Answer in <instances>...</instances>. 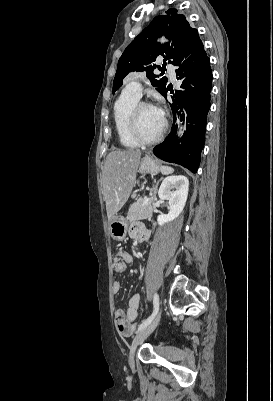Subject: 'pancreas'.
I'll return each instance as SVG.
<instances>
[{
    "label": "pancreas",
    "mask_w": 273,
    "mask_h": 401,
    "mask_svg": "<svg viewBox=\"0 0 273 401\" xmlns=\"http://www.w3.org/2000/svg\"><path fill=\"white\" fill-rule=\"evenodd\" d=\"M154 198L155 196L152 194L147 206L143 205L145 198H138V201L131 205L126 221H129V223H138V221H142V219H151L153 215L152 203H154Z\"/></svg>",
    "instance_id": "obj_1"
}]
</instances>
